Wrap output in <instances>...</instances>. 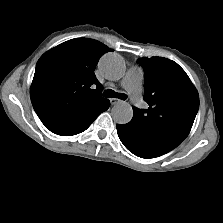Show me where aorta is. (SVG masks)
<instances>
[{
	"label": "aorta",
	"instance_id": "762f6f07",
	"mask_svg": "<svg viewBox=\"0 0 223 223\" xmlns=\"http://www.w3.org/2000/svg\"><path fill=\"white\" fill-rule=\"evenodd\" d=\"M99 67L104 76L109 80H118L125 72L123 59L113 53L104 55L99 62ZM111 116L117 124H127L133 117V109L129 103L120 101L113 106Z\"/></svg>",
	"mask_w": 223,
	"mask_h": 223
}]
</instances>
